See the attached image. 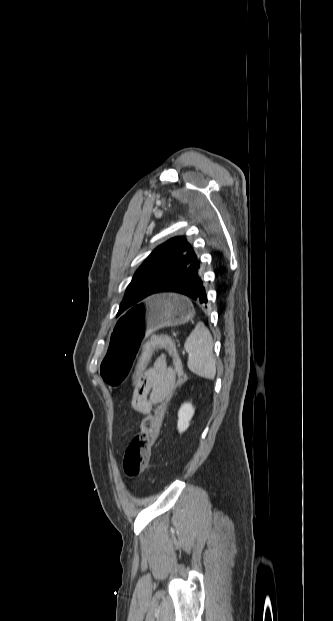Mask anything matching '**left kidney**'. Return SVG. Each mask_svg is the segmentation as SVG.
<instances>
[{
  "instance_id": "left-kidney-1",
  "label": "left kidney",
  "mask_w": 333,
  "mask_h": 621,
  "mask_svg": "<svg viewBox=\"0 0 333 621\" xmlns=\"http://www.w3.org/2000/svg\"><path fill=\"white\" fill-rule=\"evenodd\" d=\"M195 409L191 403L187 402L181 405L178 411L177 428L179 433H183L189 427L190 420L194 415Z\"/></svg>"
}]
</instances>
